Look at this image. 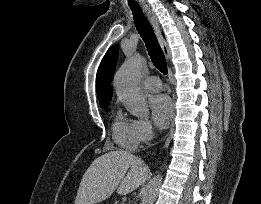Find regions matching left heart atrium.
Wrapping results in <instances>:
<instances>
[{"instance_id": "39dd6f15", "label": "left heart atrium", "mask_w": 261, "mask_h": 204, "mask_svg": "<svg viewBox=\"0 0 261 204\" xmlns=\"http://www.w3.org/2000/svg\"><path fill=\"white\" fill-rule=\"evenodd\" d=\"M152 118L157 126L165 128L173 116V105L165 94H157L149 101Z\"/></svg>"}]
</instances>
